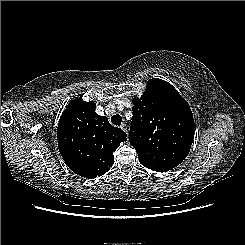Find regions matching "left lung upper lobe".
I'll use <instances>...</instances> for the list:
<instances>
[{"label": "left lung upper lobe", "instance_id": "5c2ea615", "mask_svg": "<svg viewBox=\"0 0 245 245\" xmlns=\"http://www.w3.org/2000/svg\"><path fill=\"white\" fill-rule=\"evenodd\" d=\"M132 103L129 140L139 162L157 172L181 164L194 138V119L186 100L170 83L152 78Z\"/></svg>", "mask_w": 245, "mask_h": 245}]
</instances>
